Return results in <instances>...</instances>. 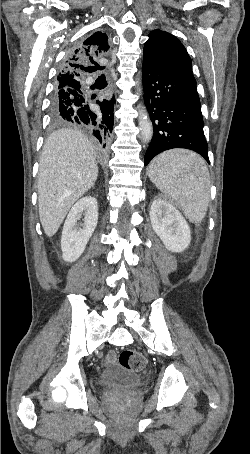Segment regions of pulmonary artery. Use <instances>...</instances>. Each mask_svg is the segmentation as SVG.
I'll return each instance as SVG.
<instances>
[{
    "label": "pulmonary artery",
    "mask_w": 250,
    "mask_h": 454,
    "mask_svg": "<svg viewBox=\"0 0 250 454\" xmlns=\"http://www.w3.org/2000/svg\"><path fill=\"white\" fill-rule=\"evenodd\" d=\"M87 83H88V84L92 83V79H88V80H87Z\"/></svg>",
    "instance_id": "1"
}]
</instances>
